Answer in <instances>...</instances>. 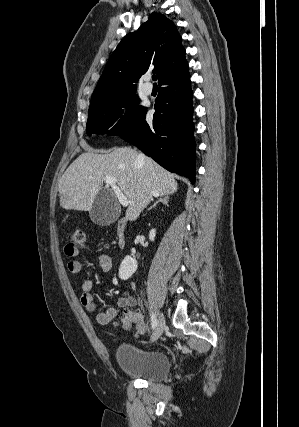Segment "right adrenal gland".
I'll return each instance as SVG.
<instances>
[{
    "label": "right adrenal gland",
    "instance_id": "obj_1",
    "mask_svg": "<svg viewBox=\"0 0 299 427\" xmlns=\"http://www.w3.org/2000/svg\"><path fill=\"white\" fill-rule=\"evenodd\" d=\"M160 202L163 203V204H165L166 206H169V204H168V202H169V196L165 195V196L159 198L156 202H154V204L151 207L148 208V210H151L152 208H155L157 206V204L160 203Z\"/></svg>",
    "mask_w": 299,
    "mask_h": 427
}]
</instances>
